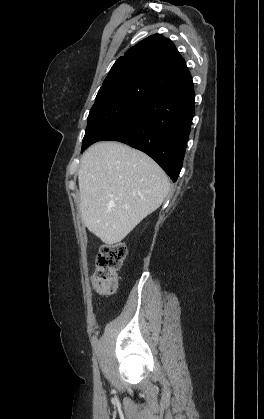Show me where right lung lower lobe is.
<instances>
[{
	"instance_id": "1",
	"label": "right lung lower lobe",
	"mask_w": 264,
	"mask_h": 419,
	"mask_svg": "<svg viewBox=\"0 0 264 419\" xmlns=\"http://www.w3.org/2000/svg\"><path fill=\"white\" fill-rule=\"evenodd\" d=\"M193 86L155 95L102 140L120 141L153 158L175 182L194 116Z\"/></svg>"
}]
</instances>
